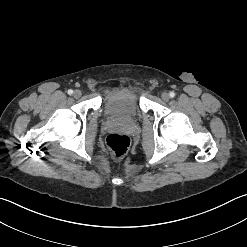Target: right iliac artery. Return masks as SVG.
<instances>
[{
  "mask_svg": "<svg viewBox=\"0 0 247 247\" xmlns=\"http://www.w3.org/2000/svg\"><path fill=\"white\" fill-rule=\"evenodd\" d=\"M68 94H69V95L73 94V90H72V89H69V90H68Z\"/></svg>",
  "mask_w": 247,
  "mask_h": 247,
  "instance_id": "right-iliac-artery-1",
  "label": "right iliac artery"
}]
</instances>
